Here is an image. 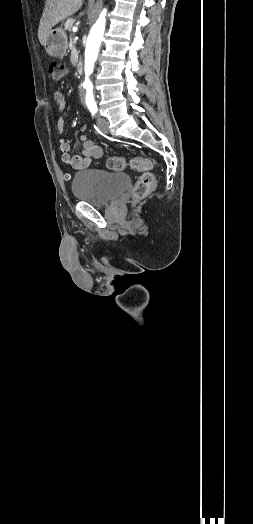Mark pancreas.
Listing matches in <instances>:
<instances>
[{"label":"pancreas","instance_id":"obj_1","mask_svg":"<svg viewBox=\"0 0 253 524\" xmlns=\"http://www.w3.org/2000/svg\"><path fill=\"white\" fill-rule=\"evenodd\" d=\"M75 21H76L75 18H72V17L68 18L65 23V29L68 31H71Z\"/></svg>","mask_w":253,"mask_h":524}]
</instances>
